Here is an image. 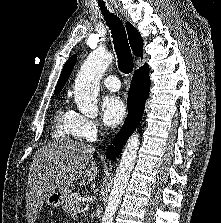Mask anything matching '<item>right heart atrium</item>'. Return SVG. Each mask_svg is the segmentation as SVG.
<instances>
[{
  "label": "right heart atrium",
  "instance_id": "d8ad5b80",
  "mask_svg": "<svg viewBox=\"0 0 221 223\" xmlns=\"http://www.w3.org/2000/svg\"><path fill=\"white\" fill-rule=\"evenodd\" d=\"M76 118L75 128L79 137L86 140H91L99 133V124L90 118H87L79 113L73 112Z\"/></svg>",
  "mask_w": 221,
  "mask_h": 223
}]
</instances>
